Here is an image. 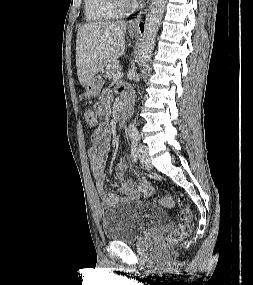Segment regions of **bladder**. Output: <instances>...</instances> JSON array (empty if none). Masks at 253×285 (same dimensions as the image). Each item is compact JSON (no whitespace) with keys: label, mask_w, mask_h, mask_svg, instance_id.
Masks as SVG:
<instances>
[{"label":"bladder","mask_w":253,"mask_h":285,"mask_svg":"<svg viewBox=\"0 0 253 285\" xmlns=\"http://www.w3.org/2000/svg\"><path fill=\"white\" fill-rule=\"evenodd\" d=\"M167 218V212L155 205L141 201H120L102 214V232L109 241L134 242L165 223Z\"/></svg>","instance_id":"obj_1"}]
</instances>
